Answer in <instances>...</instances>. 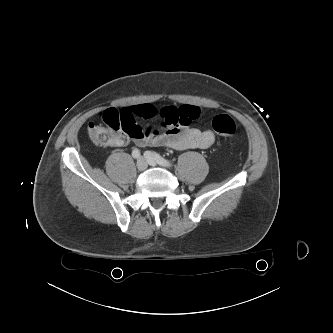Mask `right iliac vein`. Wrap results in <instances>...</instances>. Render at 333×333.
I'll list each match as a JSON object with an SVG mask.
<instances>
[{
    "instance_id": "obj_1",
    "label": "right iliac vein",
    "mask_w": 333,
    "mask_h": 333,
    "mask_svg": "<svg viewBox=\"0 0 333 333\" xmlns=\"http://www.w3.org/2000/svg\"><path fill=\"white\" fill-rule=\"evenodd\" d=\"M136 165H137V169L139 171H144L147 168V161L145 160V158L140 157L137 160V164Z\"/></svg>"
}]
</instances>
